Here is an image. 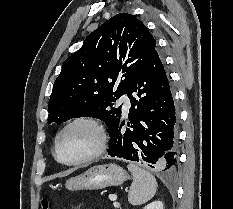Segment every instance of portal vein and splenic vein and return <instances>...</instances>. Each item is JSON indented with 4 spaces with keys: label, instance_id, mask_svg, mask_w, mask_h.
I'll return each mask as SVG.
<instances>
[{
    "label": "portal vein and splenic vein",
    "instance_id": "18ae733b",
    "mask_svg": "<svg viewBox=\"0 0 233 209\" xmlns=\"http://www.w3.org/2000/svg\"><path fill=\"white\" fill-rule=\"evenodd\" d=\"M109 199H110L111 201H116L117 196H116L115 194H110V195H109ZM114 206H115V207H119L120 204H119L118 202H114Z\"/></svg>",
    "mask_w": 233,
    "mask_h": 209
}]
</instances>
